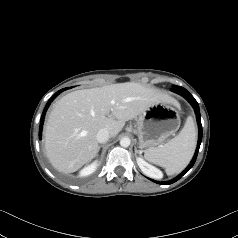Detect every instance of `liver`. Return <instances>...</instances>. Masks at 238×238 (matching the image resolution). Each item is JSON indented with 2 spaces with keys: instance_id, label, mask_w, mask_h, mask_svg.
I'll return each mask as SVG.
<instances>
[{
  "instance_id": "1",
  "label": "liver",
  "mask_w": 238,
  "mask_h": 238,
  "mask_svg": "<svg viewBox=\"0 0 238 238\" xmlns=\"http://www.w3.org/2000/svg\"><path fill=\"white\" fill-rule=\"evenodd\" d=\"M157 102L174 100L134 82L68 93L54 104L46 122V155L57 170L75 172L97 155L96 135L100 129H107L110 137H115L126 121Z\"/></svg>"
}]
</instances>
